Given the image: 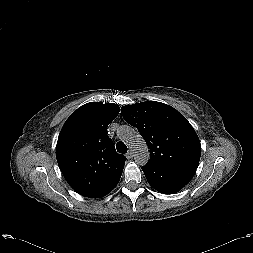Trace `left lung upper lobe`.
<instances>
[{
	"label": "left lung upper lobe",
	"mask_w": 253,
	"mask_h": 253,
	"mask_svg": "<svg viewBox=\"0 0 253 253\" xmlns=\"http://www.w3.org/2000/svg\"><path fill=\"white\" fill-rule=\"evenodd\" d=\"M123 118L136 127L150 150L148 164L197 169L201 144L188 120L164 103L147 101L123 106Z\"/></svg>",
	"instance_id": "1"
}]
</instances>
